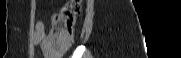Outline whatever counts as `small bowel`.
Instances as JSON below:
<instances>
[{"label": "small bowel", "instance_id": "c3829d8e", "mask_svg": "<svg viewBox=\"0 0 181 58\" xmlns=\"http://www.w3.org/2000/svg\"><path fill=\"white\" fill-rule=\"evenodd\" d=\"M46 31H45V24L42 20H37L35 24V37L34 40L36 43L41 44L43 49H46Z\"/></svg>", "mask_w": 181, "mask_h": 58}]
</instances>
